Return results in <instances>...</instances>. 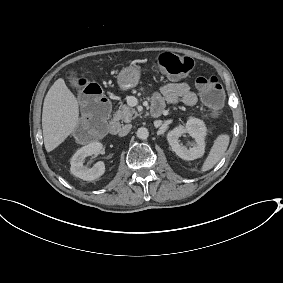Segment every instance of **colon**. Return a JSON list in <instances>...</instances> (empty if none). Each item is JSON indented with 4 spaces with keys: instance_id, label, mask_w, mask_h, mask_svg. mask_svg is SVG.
<instances>
[{
    "instance_id": "obj_1",
    "label": "colon",
    "mask_w": 283,
    "mask_h": 283,
    "mask_svg": "<svg viewBox=\"0 0 283 283\" xmlns=\"http://www.w3.org/2000/svg\"><path fill=\"white\" fill-rule=\"evenodd\" d=\"M153 66L168 76L182 77L192 70L193 61L186 56L162 53L155 59ZM76 86L79 89V100L83 114L75 133L79 139L85 141L94 137L104 128L110 106L102 89L96 83L80 79L76 82ZM196 87L202 102L214 116L218 115L224 103L225 93L217 77H198Z\"/></svg>"
}]
</instances>
